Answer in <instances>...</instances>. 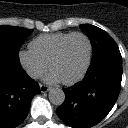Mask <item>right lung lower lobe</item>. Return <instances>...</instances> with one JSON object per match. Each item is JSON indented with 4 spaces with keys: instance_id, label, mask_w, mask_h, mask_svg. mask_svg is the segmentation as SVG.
<instances>
[{
    "instance_id": "right-lung-lower-lobe-1",
    "label": "right lung lower lobe",
    "mask_w": 128,
    "mask_h": 128,
    "mask_svg": "<svg viewBox=\"0 0 128 128\" xmlns=\"http://www.w3.org/2000/svg\"><path fill=\"white\" fill-rule=\"evenodd\" d=\"M38 93V83L21 66L0 61V128L21 124L29 112L32 98Z\"/></svg>"
}]
</instances>
